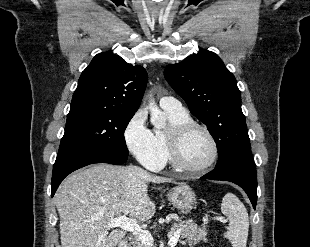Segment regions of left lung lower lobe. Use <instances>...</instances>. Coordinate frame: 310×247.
<instances>
[{
	"label": "left lung lower lobe",
	"instance_id": "0a47b994",
	"mask_svg": "<svg viewBox=\"0 0 310 247\" xmlns=\"http://www.w3.org/2000/svg\"><path fill=\"white\" fill-rule=\"evenodd\" d=\"M202 179L230 181L247 193L253 208L257 202V174L251 151H246L239 157L216 165L215 169L201 177Z\"/></svg>",
	"mask_w": 310,
	"mask_h": 247
}]
</instances>
